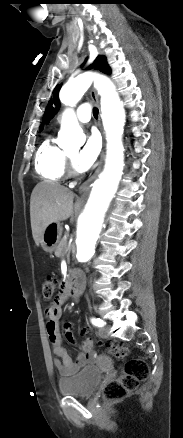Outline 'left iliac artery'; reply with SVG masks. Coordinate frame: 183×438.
<instances>
[{"label": "left iliac artery", "mask_w": 183, "mask_h": 438, "mask_svg": "<svg viewBox=\"0 0 183 438\" xmlns=\"http://www.w3.org/2000/svg\"><path fill=\"white\" fill-rule=\"evenodd\" d=\"M91 322L93 325H95L97 327H103L105 325V322L103 320H101L100 318H92Z\"/></svg>", "instance_id": "obj_1"}]
</instances>
